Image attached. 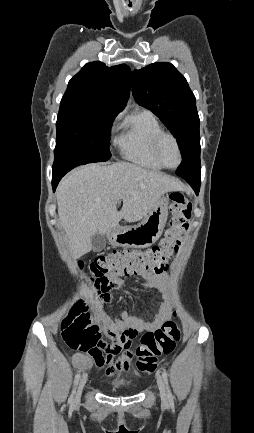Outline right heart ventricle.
Segmentation results:
<instances>
[{
  "label": "right heart ventricle",
  "instance_id": "1",
  "mask_svg": "<svg viewBox=\"0 0 254 433\" xmlns=\"http://www.w3.org/2000/svg\"><path fill=\"white\" fill-rule=\"evenodd\" d=\"M160 131L162 128L156 116L148 110H142L123 121L114 142L124 159L146 169L161 170L163 167L151 151L152 140Z\"/></svg>",
  "mask_w": 254,
  "mask_h": 433
}]
</instances>
